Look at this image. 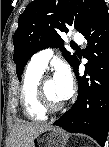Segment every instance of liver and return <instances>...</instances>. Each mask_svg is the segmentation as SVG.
I'll use <instances>...</instances> for the list:
<instances>
[{"label":"liver","instance_id":"6515ba94","mask_svg":"<svg viewBox=\"0 0 109 147\" xmlns=\"http://www.w3.org/2000/svg\"><path fill=\"white\" fill-rule=\"evenodd\" d=\"M52 126L51 124L20 121L12 127L8 147H33V140Z\"/></svg>","mask_w":109,"mask_h":147}]
</instances>
